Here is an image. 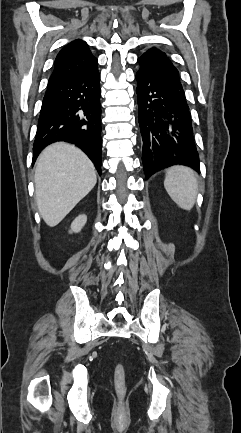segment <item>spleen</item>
<instances>
[{
    "label": "spleen",
    "mask_w": 241,
    "mask_h": 433,
    "mask_svg": "<svg viewBox=\"0 0 241 433\" xmlns=\"http://www.w3.org/2000/svg\"><path fill=\"white\" fill-rule=\"evenodd\" d=\"M164 187L181 209L190 211L193 208L198 193V182L192 169L179 165L169 168Z\"/></svg>",
    "instance_id": "1"
}]
</instances>
